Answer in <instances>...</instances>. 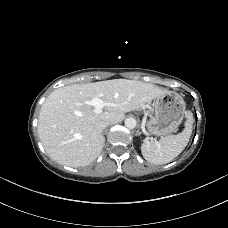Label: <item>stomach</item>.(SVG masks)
I'll return each instance as SVG.
<instances>
[{
  "label": "stomach",
  "mask_w": 228,
  "mask_h": 228,
  "mask_svg": "<svg viewBox=\"0 0 228 228\" xmlns=\"http://www.w3.org/2000/svg\"><path fill=\"white\" fill-rule=\"evenodd\" d=\"M152 108L155 115L147 122V131L156 136H168L176 132L186 114L183 98L171 91L155 98Z\"/></svg>",
  "instance_id": "0dacf381"
}]
</instances>
